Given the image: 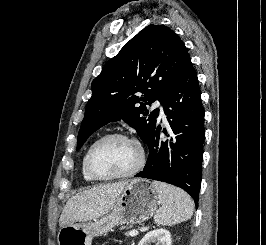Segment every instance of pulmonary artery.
Masks as SVG:
<instances>
[{"label":"pulmonary artery","mask_w":266,"mask_h":245,"mask_svg":"<svg viewBox=\"0 0 266 245\" xmlns=\"http://www.w3.org/2000/svg\"><path fill=\"white\" fill-rule=\"evenodd\" d=\"M152 108H159V111H160V116L162 118H165V115H164V110H163V106L162 104L159 102V101H155L152 105Z\"/></svg>","instance_id":"e3ab8cb5"}]
</instances>
